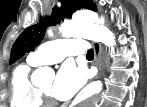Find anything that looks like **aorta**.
I'll use <instances>...</instances> for the list:
<instances>
[{"label": "aorta", "mask_w": 147, "mask_h": 107, "mask_svg": "<svg viewBox=\"0 0 147 107\" xmlns=\"http://www.w3.org/2000/svg\"><path fill=\"white\" fill-rule=\"evenodd\" d=\"M59 31L63 37L86 38L101 42L109 48H113L116 44L114 34L107 27L89 17H75L71 21H66L61 24ZM48 77H54V71L49 67L40 68L33 74L34 81ZM101 87V82H95L87 87V106H93L99 101Z\"/></svg>", "instance_id": "obj_1"}]
</instances>
